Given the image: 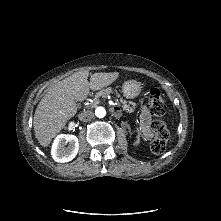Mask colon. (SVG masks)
<instances>
[{"label": "colon", "instance_id": "1", "mask_svg": "<svg viewBox=\"0 0 221 221\" xmlns=\"http://www.w3.org/2000/svg\"><path fill=\"white\" fill-rule=\"evenodd\" d=\"M146 104L150 113L155 117L163 116L167 111V105L158 89H151L146 98ZM150 128L154 133L150 149L154 154H161L169 138V132L165 123L159 119L151 122Z\"/></svg>", "mask_w": 221, "mask_h": 221}]
</instances>
